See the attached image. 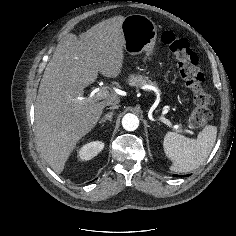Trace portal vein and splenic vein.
Segmentation results:
<instances>
[{"mask_svg": "<svg viewBox=\"0 0 236 236\" xmlns=\"http://www.w3.org/2000/svg\"><path fill=\"white\" fill-rule=\"evenodd\" d=\"M108 95H109L108 89L106 87H100L96 92H92L87 98H84V100L87 101L101 100L106 98ZM160 120L169 127H173L175 129L178 128V125H173L170 120L164 117H161Z\"/></svg>", "mask_w": 236, "mask_h": 236, "instance_id": "portal-vein-and-splenic-vein-1", "label": "portal vein and splenic vein"}]
</instances>
